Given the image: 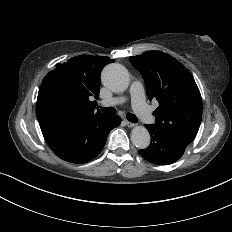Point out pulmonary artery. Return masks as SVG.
<instances>
[{"instance_id": "pulmonary-artery-1", "label": "pulmonary artery", "mask_w": 232, "mask_h": 232, "mask_svg": "<svg viewBox=\"0 0 232 232\" xmlns=\"http://www.w3.org/2000/svg\"><path fill=\"white\" fill-rule=\"evenodd\" d=\"M131 92V100L132 104L131 107L133 110H135L136 113H138L142 118L145 120L146 123L151 124L155 120V116L152 113V111L148 108L147 105H145V101L142 98L140 88L141 84L139 81L134 80L130 84ZM124 103L125 102V97L124 96H119L117 97H108L107 99H103L101 102H99L100 105L103 106H111L112 104H117V103Z\"/></svg>"}]
</instances>
